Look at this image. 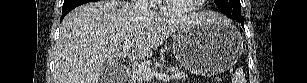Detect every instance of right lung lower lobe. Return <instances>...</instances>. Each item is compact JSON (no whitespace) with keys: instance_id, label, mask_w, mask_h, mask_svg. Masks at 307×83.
I'll return each instance as SVG.
<instances>
[{"instance_id":"1","label":"right lung lower lobe","mask_w":307,"mask_h":83,"mask_svg":"<svg viewBox=\"0 0 307 83\" xmlns=\"http://www.w3.org/2000/svg\"><path fill=\"white\" fill-rule=\"evenodd\" d=\"M88 2V0H65L62 8V18L67 15L73 8L79 6L83 3Z\"/></svg>"}]
</instances>
